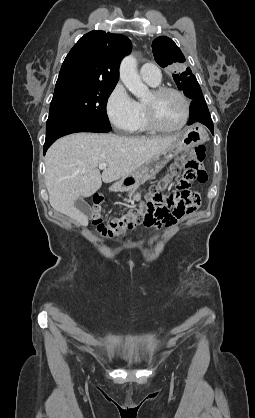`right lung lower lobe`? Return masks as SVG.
I'll return each mask as SVG.
<instances>
[{
    "label": "right lung lower lobe",
    "instance_id": "right-lung-lower-lobe-1",
    "mask_svg": "<svg viewBox=\"0 0 255 418\" xmlns=\"http://www.w3.org/2000/svg\"><path fill=\"white\" fill-rule=\"evenodd\" d=\"M111 128L104 127L94 121L76 117H53L48 118L46 123V140L44 154L58 138L76 132H109Z\"/></svg>",
    "mask_w": 255,
    "mask_h": 418
}]
</instances>
